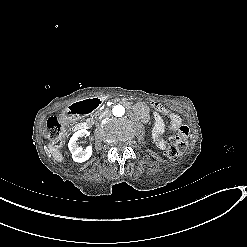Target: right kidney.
<instances>
[{
    "label": "right kidney",
    "instance_id": "ca27d5eb",
    "mask_svg": "<svg viewBox=\"0 0 247 247\" xmlns=\"http://www.w3.org/2000/svg\"><path fill=\"white\" fill-rule=\"evenodd\" d=\"M87 136V130L81 129L76 131L70 138L68 143V148L70 149L72 159L76 163H83L89 160L93 154L92 147H87L85 150H83L79 145L78 141L82 137Z\"/></svg>",
    "mask_w": 247,
    "mask_h": 247
}]
</instances>
